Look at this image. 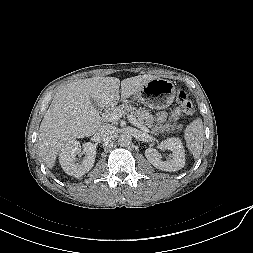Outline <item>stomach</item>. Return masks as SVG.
Returning a JSON list of instances; mask_svg holds the SVG:
<instances>
[{
  "mask_svg": "<svg viewBox=\"0 0 253 253\" xmlns=\"http://www.w3.org/2000/svg\"><path fill=\"white\" fill-rule=\"evenodd\" d=\"M176 94L172 81L163 78L150 80L134 95V98L149 108L165 109L172 104Z\"/></svg>",
  "mask_w": 253,
  "mask_h": 253,
  "instance_id": "obj_1",
  "label": "stomach"
}]
</instances>
